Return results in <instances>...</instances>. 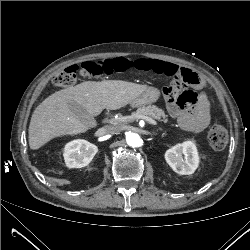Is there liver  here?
Instances as JSON below:
<instances>
[{
    "label": "liver",
    "mask_w": 250,
    "mask_h": 250,
    "mask_svg": "<svg viewBox=\"0 0 250 250\" xmlns=\"http://www.w3.org/2000/svg\"><path fill=\"white\" fill-rule=\"evenodd\" d=\"M147 88V85L122 80L85 81L53 93L32 114L28 130L30 148L36 150L53 138L88 131L95 126L93 117L103 109H120ZM69 102L83 106L91 119L88 122L79 120L70 110Z\"/></svg>",
    "instance_id": "6515ba94"
}]
</instances>
